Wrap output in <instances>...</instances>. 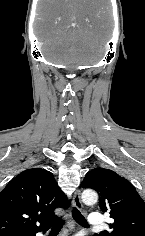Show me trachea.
<instances>
[{"label": "trachea", "instance_id": "1", "mask_svg": "<svg viewBox=\"0 0 145 236\" xmlns=\"http://www.w3.org/2000/svg\"><path fill=\"white\" fill-rule=\"evenodd\" d=\"M72 215L74 220L81 226L88 227V222L86 221L85 217L80 213V211L76 208H73ZM64 224L63 220H59L53 224L52 229H61Z\"/></svg>", "mask_w": 145, "mask_h": 236}]
</instances>
